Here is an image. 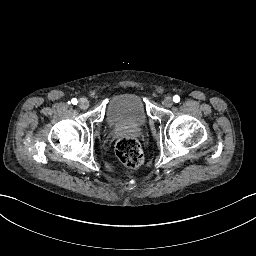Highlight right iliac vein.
Wrapping results in <instances>:
<instances>
[{
  "label": "right iliac vein",
  "mask_w": 256,
  "mask_h": 256,
  "mask_svg": "<svg viewBox=\"0 0 256 256\" xmlns=\"http://www.w3.org/2000/svg\"><path fill=\"white\" fill-rule=\"evenodd\" d=\"M79 107L82 110H86L89 107V101L86 98L80 99Z\"/></svg>",
  "instance_id": "1"
}]
</instances>
